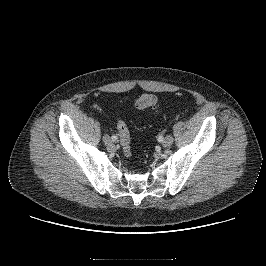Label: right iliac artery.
Segmentation results:
<instances>
[{"label": "right iliac artery", "mask_w": 266, "mask_h": 266, "mask_svg": "<svg viewBox=\"0 0 266 266\" xmlns=\"http://www.w3.org/2000/svg\"><path fill=\"white\" fill-rule=\"evenodd\" d=\"M111 138L113 139V141H115L117 139L116 136H112Z\"/></svg>", "instance_id": "right-iliac-artery-1"}]
</instances>
